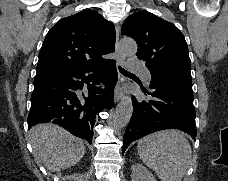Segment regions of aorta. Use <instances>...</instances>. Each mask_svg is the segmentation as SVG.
Instances as JSON below:
<instances>
[{"label":"aorta","instance_id":"762f6f07","mask_svg":"<svg viewBox=\"0 0 228 181\" xmlns=\"http://www.w3.org/2000/svg\"><path fill=\"white\" fill-rule=\"evenodd\" d=\"M120 53L125 56H133L137 52V44L131 38H124L119 45ZM133 105L131 97L125 96L121 99L120 103L116 107L113 116V127L115 129L124 128L132 116Z\"/></svg>","mask_w":228,"mask_h":181}]
</instances>
